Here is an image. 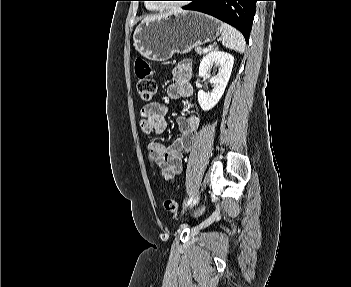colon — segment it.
I'll use <instances>...</instances> for the list:
<instances>
[{
	"label": "colon",
	"instance_id": "5ec220e1",
	"mask_svg": "<svg viewBox=\"0 0 351 287\" xmlns=\"http://www.w3.org/2000/svg\"><path fill=\"white\" fill-rule=\"evenodd\" d=\"M134 70L138 78L137 92L139 99L144 104H150L157 91V85L153 78V68L145 59L139 57L134 62ZM164 208L172 214L179 213V205L174 199H166Z\"/></svg>",
	"mask_w": 351,
	"mask_h": 287
}]
</instances>
